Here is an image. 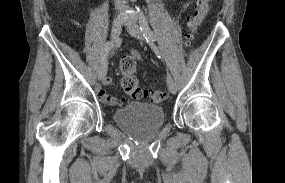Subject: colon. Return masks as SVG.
Here are the masks:
<instances>
[{
  "label": "colon",
  "mask_w": 285,
  "mask_h": 183,
  "mask_svg": "<svg viewBox=\"0 0 285 183\" xmlns=\"http://www.w3.org/2000/svg\"><path fill=\"white\" fill-rule=\"evenodd\" d=\"M211 0H197L196 7L187 17L189 33L187 44L190 45L195 39L196 32L208 12ZM137 64L133 56H125L120 62L121 86L123 90L133 99H148L153 103H161L167 99V93L162 90H146L139 85L136 77ZM112 102L123 105L124 100L114 98Z\"/></svg>",
  "instance_id": "obj_1"
}]
</instances>
